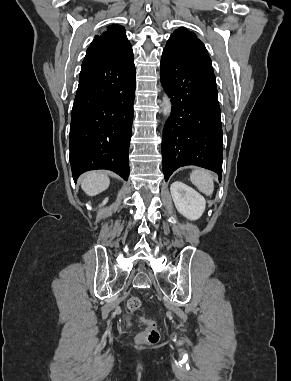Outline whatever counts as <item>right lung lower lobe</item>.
Instances as JSON below:
<instances>
[{
	"instance_id": "right-lung-lower-lobe-1",
	"label": "right lung lower lobe",
	"mask_w": 291,
	"mask_h": 381,
	"mask_svg": "<svg viewBox=\"0 0 291 381\" xmlns=\"http://www.w3.org/2000/svg\"><path fill=\"white\" fill-rule=\"evenodd\" d=\"M135 84L132 51L83 61L70 126L75 181L94 169L112 170L128 179Z\"/></svg>"
}]
</instances>
